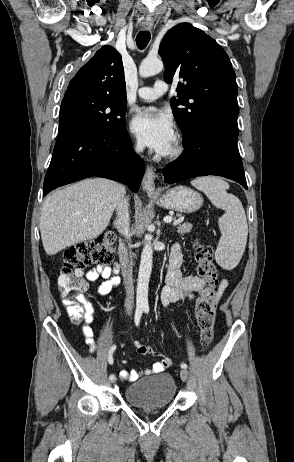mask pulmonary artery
<instances>
[{
	"mask_svg": "<svg viewBox=\"0 0 294 462\" xmlns=\"http://www.w3.org/2000/svg\"><path fill=\"white\" fill-rule=\"evenodd\" d=\"M168 90V85L163 80H157L152 87H141L138 96L145 101H153Z\"/></svg>",
	"mask_w": 294,
	"mask_h": 462,
	"instance_id": "1",
	"label": "pulmonary artery"
}]
</instances>
